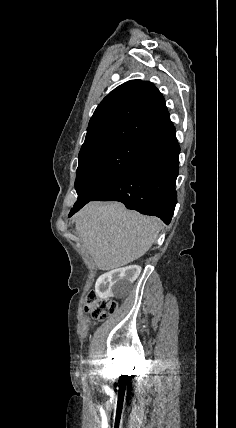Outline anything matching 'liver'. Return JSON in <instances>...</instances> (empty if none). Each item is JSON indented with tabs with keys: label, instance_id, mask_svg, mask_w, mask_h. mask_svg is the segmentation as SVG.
Masks as SVG:
<instances>
[{
	"label": "liver",
	"instance_id": "obj_1",
	"mask_svg": "<svg viewBox=\"0 0 236 428\" xmlns=\"http://www.w3.org/2000/svg\"><path fill=\"white\" fill-rule=\"evenodd\" d=\"M75 228L99 270L121 268L150 250L162 222L126 210L120 202H90L75 216Z\"/></svg>",
	"mask_w": 236,
	"mask_h": 428
}]
</instances>
